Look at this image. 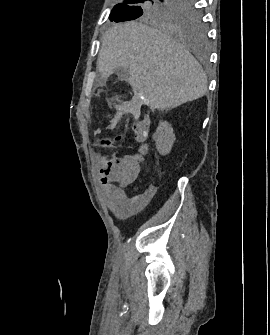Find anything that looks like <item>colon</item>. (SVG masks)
<instances>
[{
    "instance_id": "obj_1",
    "label": "colon",
    "mask_w": 270,
    "mask_h": 335,
    "mask_svg": "<svg viewBox=\"0 0 270 335\" xmlns=\"http://www.w3.org/2000/svg\"><path fill=\"white\" fill-rule=\"evenodd\" d=\"M121 139V136H117L114 140L119 141ZM101 146H109L111 144V141L109 139H104L101 141Z\"/></svg>"
}]
</instances>
